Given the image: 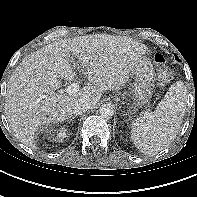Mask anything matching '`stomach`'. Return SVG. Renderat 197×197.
<instances>
[{"label": "stomach", "mask_w": 197, "mask_h": 197, "mask_svg": "<svg viewBox=\"0 0 197 197\" xmlns=\"http://www.w3.org/2000/svg\"><path fill=\"white\" fill-rule=\"evenodd\" d=\"M133 75L132 107L135 109L145 106L152 97L155 72L150 59L141 57L135 64Z\"/></svg>", "instance_id": "obj_1"}]
</instances>
